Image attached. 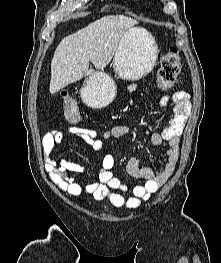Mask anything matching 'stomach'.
Listing matches in <instances>:
<instances>
[{
	"instance_id": "1",
	"label": "stomach",
	"mask_w": 221,
	"mask_h": 263,
	"mask_svg": "<svg viewBox=\"0 0 221 263\" xmlns=\"http://www.w3.org/2000/svg\"><path fill=\"white\" fill-rule=\"evenodd\" d=\"M158 53L154 38L145 29H130L123 35L115 52L114 71L124 80L142 79L153 70ZM80 92L87 106L102 109L114 100L117 87L110 75L97 71L86 78Z\"/></svg>"
}]
</instances>
